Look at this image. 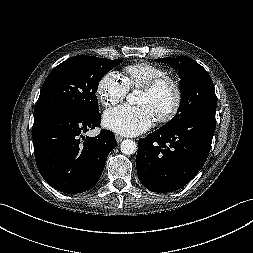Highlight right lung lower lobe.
<instances>
[{
	"mask_svg": "<svg viewBox=\"0 0 253 253\" xmlns=\"http://www.w3.org/2000/svg\"><path fill=\"white\" fill-rule=\"evenodd\" d=\"M101 116H80L64 110L35 114L33 142L35 160L44 180L64 193H81L99 180L108 154L115 148L113 132L101 130L96 137L84 136L100 126Z\"/></svg>",
	"mask_w": 253,
	"mask_h": 253,
	"instance_id": "right-lung-lower-lobe-1",
	"label": "right lung lower lobe"
}]
</instances>
